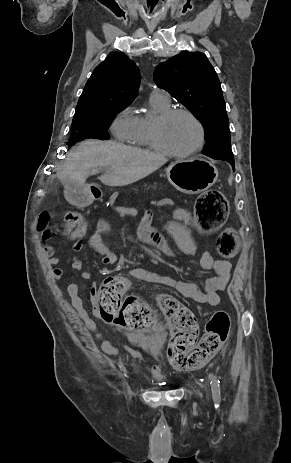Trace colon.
Returning a JSON list of instances; mask_svg holds the SVG:
<instances>
[{
  "label": "colon",
  "mask_w": 291,
  "mask_h": 463,
  "mask_svg": "<svg viewBox=\"0 0 291 463\" xmlns=\"http://www.w3.org/2000/svg\"><path fill=\"white\" fill-rule=\"evenodd\" d=\"M229 204L225 195L217 189L208 190L196 200L194 213L176 205L171 210V225L190 226L195 230L210 232L220 227L227 218ZM50 214L43 211L38 219V231L45 238L53 232L63 231L76 238L84 233L86 224L78 212L66 214L61 226L49 224ZM217 250L224 258L236 254L237 241L233 229H225L217 239ZM130 281L121 275L107 278L97 291L99 312L107 322L125 326L137 332H149L157 325V317L142 299L127 296ZM159 308L170 320L173 335L167 350L169 363L177 370H192L203 366L227 340L230 319L223 311L216 312L207 322L204 333L197 341L199 328L195 315L167 294L157 298Z\"/></svg>",
  "instance_id": "1"
}]
</instances>
